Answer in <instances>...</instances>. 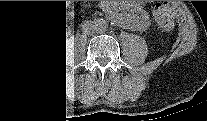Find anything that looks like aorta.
Returning <instances> with one entry per match:
<instances>
[{"mask_svg":"<svg viewBox=\"0 0 207 121\" xmlns=\"http://www.w3.org/2000/svg\"><path fill=\"white\" fill-rule=\"evenodd\" d=\"M127 3V4H126ZM135 1H112V5L109 8V20L121 28H132L134 24L132 9L136 7ZM131 12V13H130ZM95 31L97 33H104L107 29V22L103 19H97L94 21Z\"/></svg>","mask_w":207,"mask_h":121,"instance_id":"1","label":"aorta"}]
</instances>
